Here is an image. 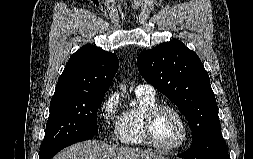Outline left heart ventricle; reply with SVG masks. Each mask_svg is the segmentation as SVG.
I'll list each match as a JSON object with an SVG mask.
<instances>
[{"label":"left heart ventricle","mask_w":253,"mask_h":159,"mask_svg":"<svg viewBox=\"0 0 253 159\" xmlns=\"http://www.w3.org/2000/svg\"><path fill=\"white\" fill-rule=\"evenodd\" d=\"M183 133L178 116L169 110H163L153 122V135L156 142L164 147H170L180 140Z\"/></svg>","instance_id":"obj_1"}]
</instances>
